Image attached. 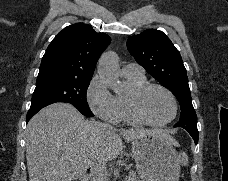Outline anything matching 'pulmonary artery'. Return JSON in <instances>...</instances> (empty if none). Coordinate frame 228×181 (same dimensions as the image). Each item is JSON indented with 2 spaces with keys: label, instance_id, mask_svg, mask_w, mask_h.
Returning <instances> with one entry per match:
<instances>
[{
  "label": "pulmonary artery",
  "instance_id": "e3ab8cb5",
  "mask_svg": "<svg viewBox=\"0 0 228 181\" xmlns=\"http://www.w3.org/2000/svg\"><path fill=\"white\" fill-rule=\"evenodd\" d=\"M140 65H124V70H128V75H142V70Z\"/></svg>",
  "mask_w": 228,
  "mask_h": 181
}]
</instances>
